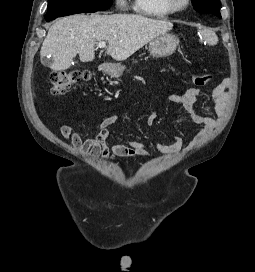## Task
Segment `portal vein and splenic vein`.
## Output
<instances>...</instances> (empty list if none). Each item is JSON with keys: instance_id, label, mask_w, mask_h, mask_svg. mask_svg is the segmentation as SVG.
I'll return each mask as SVG.
<instances>
[{"instance_id": "18ae733b", "label": "portal vein and splenic vein", "mask_w": 255, "mask_h": 272, "mask_svg": "<svg viewBox=\"0 0 255 272\" xmlns=\"http://www.w3.org/2000/svg\"><path fill=\"white\" fill-rule=\"evenodd\" d=\"M97 44H98V47H100V48L106 47V42H104V41H99Z\"/></svg>"}]
</instances>
